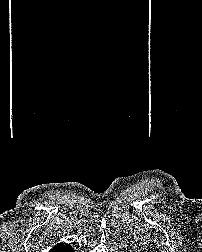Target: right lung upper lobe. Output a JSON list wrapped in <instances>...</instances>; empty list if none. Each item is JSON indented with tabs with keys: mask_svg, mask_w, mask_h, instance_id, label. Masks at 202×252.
I'll list each match as a JSON object with an SVG mask.
<instances>
[{
	"mask_svg": "<svg viewBox=\"0 0 202 252\" xmlns=\"http://www.w3.org/2000/svg\"><path fill=\"white\" fill-rule=\"evenodd\" d=\"M67 245L63 244V243H60V244H57L56 246H54L50 252H63L62 251V247H65Z\"/></svg>",
	"mask_w": 202,
	"mask_h": 252,
	"instance_id": "1",
	"label": "right lung upper lobe"
}]
</instances>
